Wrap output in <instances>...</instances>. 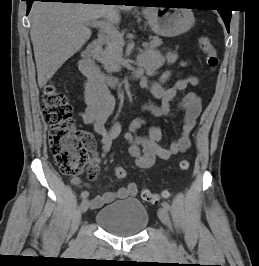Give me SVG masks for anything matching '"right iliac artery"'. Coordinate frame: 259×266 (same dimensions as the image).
Wrapping results in <instances>:
<instances>
[{
    "instance_id": "obj_1",
    "label": "right iliac artery",
    "mask_w": 259,
    "mask_h": 266,
    "mask_svg": "<svg viewBox=\"0 0 259 266\" xmlns=\"http://www.w3.org/2000/svg\"><path fill=\"white\" fill-rule=\"evenodd\" d=\"M88 195H89L88 191H83V192L81 193V198H82V199H86V198L88 197Z\"/></svg>"
}]
</instances>
